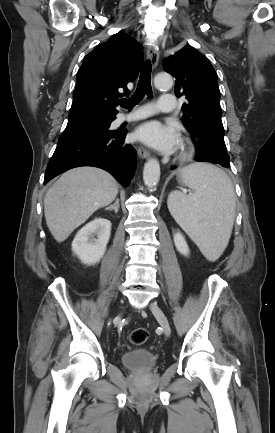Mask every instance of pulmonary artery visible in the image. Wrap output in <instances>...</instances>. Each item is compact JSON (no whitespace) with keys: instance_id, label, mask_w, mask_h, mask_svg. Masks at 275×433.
Listing matches in <instances>:
<instances>
[{"instance_id":"pulmonary-artery-1","label":"pulmonary artery","mask_w":275,"mask_h":433,"mask_svg":"<svg viewBox=\"0 0 275 433\" xmlns=\"http://www.w3.org/2000/svg\"><path fill=\"white\" fill-rule=\"evenodd\" d=\"M176 102L173 94H162L157 104L148 103L137 110L120 116L121 122L133 121L152 115L157 108L162 113H171L175 108Z\"/></svg>"}]
</instances>
